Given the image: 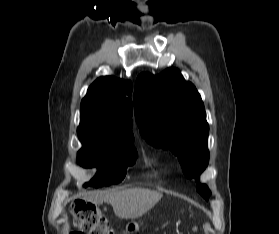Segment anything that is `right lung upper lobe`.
Instances as JSON below:
<instances>
[{"label": "right lung upper lobe", "mask_w": 279, "mask_h": 234, "mask_svg": "<svg viewBox=\"0 0 279 234\" xmlns=\"http://www.w3.org/2000/svg\"><path fill=\"white\" fill-rule=\"evenodd\" d=\"M132 83L112 76L100 77L80 105V126L85 135L102 141L134 140Z\"/></svg>", "instance_id": "cb5924a9"}]
</instances>
